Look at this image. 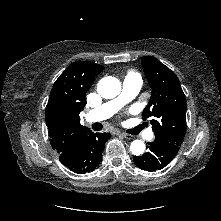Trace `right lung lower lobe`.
I'll list each match as a JSON object with an SVG mask.
<instances>
[{
  "label": "right lung lower lobe",
  "instance_id": "98d812e1",
  "mask_svg": "<svg viewBox=\"0 0 221 221\" xmlns=\"http://www.w3.org/2000/svg\"><path fill=\"white\" fill-rule=\"evenodd\" d=\"M110 137V133H93L90 130L76 150L59 154V159L77 174L91 172L100 164L105 143Z\"/></svg>",
  "mask_w": 221,
  "mask_h": 221
}]
</instances>
